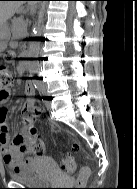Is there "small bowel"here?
<instances>
[{"mask_svg":"<svg viewBox=\"0 0 137 189\" xmlns=\"http://www.w3.org/2000/svg\"><path fill=\"white\" fill-rule=\"evenodd\" d=\"M22 73V71H20ZM25 92L28 96H33L35 89L32 83H27ZM7 98H0V148L3 154V161L7 167L16 171L19 168L30 165L33 161L30 155V150L25 146L24 141L26 130L33 127V121L30 117H24V126L13 136L9 133L8 126V111L3 106ZM34 104L33 100L29 99L26 107Z\"/></svg>","mask_w":137,"mask_h":189,"instance_id":"obj_1","label":"small bowel"}]
</instances>
